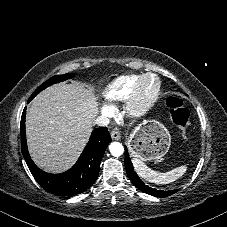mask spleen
<instances>
[{"mask_svg": "<svg viewBox=\"0 0 227 227\" xmlns=\"http://www.w3.org/2000/svg\"><path fill=\"white\" fill-rule=\"evenodd\" d=\"M132 163L139 177L155 184H169L180 178L187 170V166L183 165L168 172L160 173L150 169L145 163L137 158H133Z\"/></svg>", "mask_w": 227, "mask_h": 227, "instance_id": "1", "label": "spleen"}]
</instances>
